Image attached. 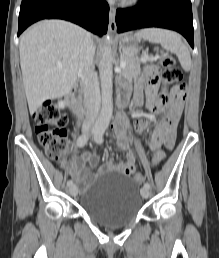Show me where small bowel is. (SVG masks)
<instances>
[{
    "instance_id": "c3829d8e",
    "label": "small bowel",
    "mask_w": 219,
    "mask_h": 258,
    "mask_svg": "<svg viewBox=\"0 0 219 258\" xmlns=\"http://www.w3.org/2000/svg\"><path fill=\"white\" fill-rule=\"evenodd\" d=\"M160 74V69L155 64L146 66L143 76L137 84L135 98V113H137L141 99L140 95L145 89L148 96V108L154 112H166L165 118L156 125L151 141L148 146L151 150H156L164 144L166 147H174L176 138V127L184 105V92L176 95L171 93L170 99H165L157 95V80ZM125 95H123V98ZM149 126V120H141L135 130L142 132ZM113 128L118 137V149L124 153V162L115 164L112 161L106 162L100 167V172L117 170L123 174L130 175L136 171V155L133 151H127L129 148L127 133L130 131V126L122 114H119L113 122ZM98 163L97 156L90 152L82 153L78 158L72 160V177L83 188H87L92 181V175L89 173L87 165L95 166ZM143 177V176H141Z\"/></svg>"
}]
</instances>
